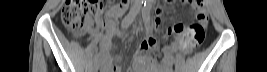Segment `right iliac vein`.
<instances>
[{
    "label": "right iliac vein",
    "mask_w": 267,
    "mask_h": 72,
    "mask_svg": "<svg viewBox=\"0 0 267 72\" xmlns=\"http://www.w3.org/2000/svg\"><path fill=\"white\" fill-rule=\"evenodd\" d=\"M98 68H99V61L97 60L94 62L93 70L96 72L98 70Z\"/></svg>",
    "instance_id": "obj_1"
}]
</instances>
